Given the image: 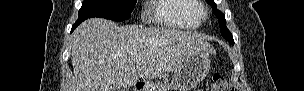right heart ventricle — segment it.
Segmentation results:
<instances>
[{"instance_id": "obj_1", "label": "right heart ventricle", "mask_w": 304, "mask_h": 91, "mask_svg": "<svg viewBox=\"0 0 304 91\" xmlns=\"http://www.w3.org/2000/svg\"><path fill=\"white\" fill-rule=\"evenodd\" d=\"M150 11L161 26L196 29L201 24L200 5L196 0H155Z\"/></svg>"}]
</instances>
